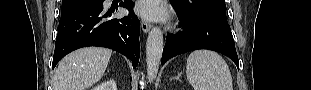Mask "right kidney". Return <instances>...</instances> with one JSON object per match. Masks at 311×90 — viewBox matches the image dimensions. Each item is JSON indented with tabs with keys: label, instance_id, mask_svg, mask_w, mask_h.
<instances>
[{
	"label": "right kidney",
	"instance_id": "ca27d5eb",
	"mask_svg": "<svg viewBox=\"0 0 311 90\" xmlns=\"http://www.w3.org/2000/svg\"><path fill=\"white\" fill-rule=\"evenodd\" d=\"M110 89L116 90L114 82H106L96 88H93V90H110Z\"/></svg>",
	"mask_w": 311,
	"mask_h": 90
}]
</instances>
